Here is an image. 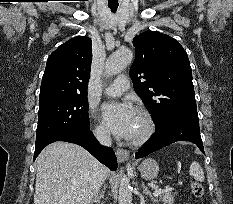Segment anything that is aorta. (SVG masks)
Wrapping results in <instances>:
<instances>
[{
	"label": "aorta",
	"mask_w": 233,
	"mask_h": 204,
	"mask_svg": "<svg viewBox=\"0 0 233 204\" xmlns=\"http://www.w3.org/2000/svg\"><path fill=\"white\" fill-rule=\"evenodd\" d=\"M133 52L128 48H121L113 53L105 64V72L107 76H113L123 71L132 61ZM119 204H132V187L129 178L121 175L119 187Z\"/></svg>",
	"instance_id": "1"
}]
</instances>
